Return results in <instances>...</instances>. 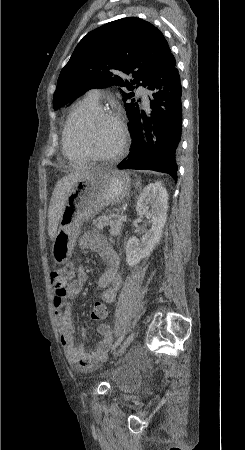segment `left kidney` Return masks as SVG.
<instances>
[{
	"instance_id": "5707ae66",
	"label": "left kidney",
	"mask_w": 245,
	"mask_h": 450,
	"mask_svg": "<svg viewBox=\"0 0 245 450\" xmlns=\"http://www.w3.org/2000/svg\"><path fill=\"white\" fill-rule=\"evenodd\" d=\"M168 193L160 183L146 186L140 194L136 211L152 221L151 228L142 236L141 240L129 238L126 243V261L129 266L137 265L143 258L150 256L159 243L163 228L167 220Z\"/></svg>"
}]
</instances>
